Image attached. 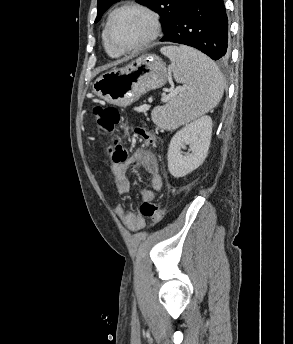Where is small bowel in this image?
<instances>
[{
    "label": "small bowel",
    "mask_w": 293,
    "mask_h": 344,
    "mask_svg": "<svg viewBox=\"0 0 293 344\" xmlns=\"http://www.w3.org/2000/svg\"><path fill=\"white\" fill-rule=\"evenodd\" d=\"M133 167L143 169L150 176L151 189H143L141 197L143 201L152 202L155 198L154 192L162 188L163 181L156 156L146 149L137 150L130 162L112 167V179L117 192L122 195L129 192L131 182L128 171ZM115 214L132 231L140 230L146 224V216L141 212L129 211L121 204L116 206Z\"/></svg>",
    "instance_id": "c3829d8e"
}]
</instances>
